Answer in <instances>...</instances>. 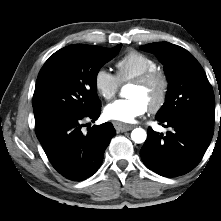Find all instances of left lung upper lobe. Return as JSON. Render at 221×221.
I'll return each mask as SVG.
<instances>
[{
    "mask_svg": "<svg viewBox=\"0 0 221 221\" xmlns=\"http://www.w3.org/2000/svg\"><path fill=\"white\" fill-rule=\"evenodd\" d=\"M141 49L154 53L164 64L169 83L156 119L193 116L214 125V93L199 62L184 48L168 42L150 43Z\"/></svg>",
    "mask_w": 221,
    "mask_h": 221,
    "instance_id": "5c2ea615",
    "label": "left lung upper lobe"
}]
</instances>
